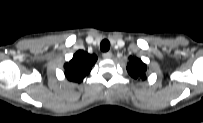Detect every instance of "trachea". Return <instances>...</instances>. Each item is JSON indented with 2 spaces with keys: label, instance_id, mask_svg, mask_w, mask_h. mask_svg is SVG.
<instances>
[{
  "label": "trachea",
  "instance_id": "obj_1",
  "mask_svg": "<svg viewBox=\"0 0 203 123\" xmlns=\"http://www.w3.org/2000/svg\"><path fill=\"white\" fill-rule=\"evenodd\" d=\"M100 49L103 52H107L110 49V42L104 39L100 44Z\"/></svg>",
  "mask_w": 203,
  "mask_h": 123
}]
</instances>
